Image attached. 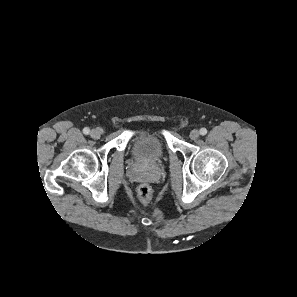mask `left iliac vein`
<instances>
[{
	"mask_svg": "<svg viewBox=\"0 0 297 297\" xmlns=\"http://www.w3.org/2000/svg\"><path fill=\"white\" fill-rule=\"evenodd\" d=\"M199 135H200L199 131L194 129L190 132L189 136L192 140H197L199 138Z\"/></svg>",
	"mask_w": 297,
	"mask_h": 297,
	"instance_id": "1",
	"label": "left iliac vein"
}]
</instances>
